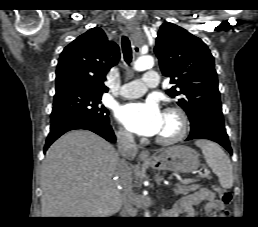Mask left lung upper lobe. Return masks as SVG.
<instances>
[{"label": "left lung upper lobe", "mask_w": 258, "mask_h": 227, "mask_svg": "<svg viewBox=\"0 0 258 227\" xmlns=\"http://www.w3.org/2000/svg\"><path fill=\"white\" fill-rule=\"evenodd\" d=\"M154 51L163 75L175 84L166 92L178 100L191 126L208 113L222 114L214 58L201 39L166 22L160 27Z\"/></svg>", "instance_id": "left-lung-upper-lobe-1"}]
</instances>
